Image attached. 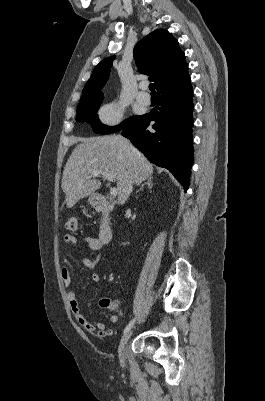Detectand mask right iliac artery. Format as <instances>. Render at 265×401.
Returning <instances> with one entry per match:
<instances>
[{
    "label": "right iliac artery",
    "mask_w": 265,
    "mask_h": 401,
    "mask_svg": "<svg viewBox=\"0 0 265 401\" xmlns=\"http://www.w3.org/2000/svg\"><path fill=\"white\" fill-rule=\"evenodd\" d=\"M134 322H135V319H132V320L128 323V325H127V326L125 327V329H124V333H126L127 331H129V330L131 329V327L133 326Z\"/></svg>",
    "instance_id": "obj_1"
}]
</instances>
